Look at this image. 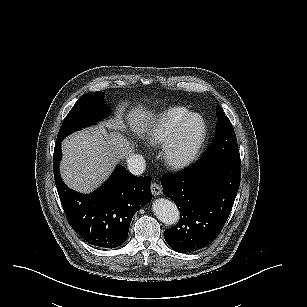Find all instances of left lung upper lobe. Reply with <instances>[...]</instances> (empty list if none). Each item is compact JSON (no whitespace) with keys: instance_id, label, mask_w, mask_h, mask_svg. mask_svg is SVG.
<instances>
[{"instance_id":"1","label":"left lung upper lobe","mask_w":307,"mask_h":307,"mask_svg":"<svg viewBox=\"0 0 307 307\" xmlns=\"http://www.w3.org/2000/svg\"><path fill=\"white\" fill-rule=\"evenodd\" d=\"M219 117L212 143L200 161H231L240 163L237 139L230 120L225 117L221 107L217 106Z\"/></svg>"}]
</instances>
